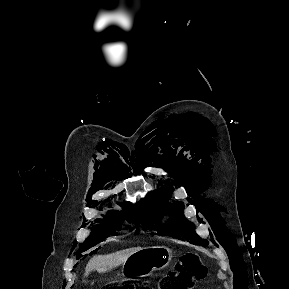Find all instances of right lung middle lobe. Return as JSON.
Instances as JSON below:
<instances>
[{"label":"right lung middle lobe","mask_w":289,"mask_h":289,"mask_svg":"<svg viewBox=\"0 0 289 289\" xmlns=\"http://www.w3.org/2000/svg\"><path fill=\"white\" fill-rule=\"evenodd\" d=\"M124 210L123 211H111L105 220L103 219H96L95 221L100 223L93 227V232L86 239V241L80 246V250L76 252L79 254L88 250L89 248L95 246L97 243L101 242L102 239L108 237L110 234H114L116 230H120V227L124 221L132 223L136 227L139 226L141 220V214L139 209L133 208L130 204L122 205Z\"/></svg>","instance_id":"obj_1"}]
</instances>
